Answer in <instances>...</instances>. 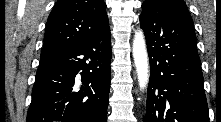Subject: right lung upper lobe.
Here are the masks:
<instances>
[{
  "label": "right lung upper lobe",
  "mask_w": 221,
  "mask_h": 122,
  "mask_svg": "<svg viewBox=\"0 0 221 122\" xmlns=\"http://www.w3.org/2000/svg\"><path fill=\"white\" fill-rule=\"evenodd\" d=\"M107 29L103 0H58L47 20L40 60L74 48Z\"/></svg>",
  "instance_id": "right-lung-upper-lobe-1"
}]
</instances>
